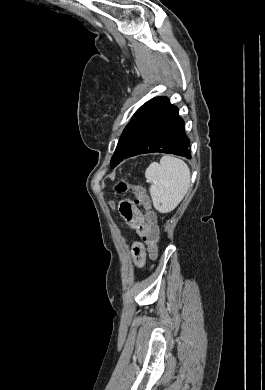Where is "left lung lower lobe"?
Masks as SVG:
<instances>
[{"instance_id":"obj_1","label":"left lung lower lobe","mask_w":265,"mask_h":390,"mask_svg":"<svg viewBox=\"0 0 265 390\" xmlns=\"http://www.w3.org/2000/svg\"><path fill=\"white\" fill-rule=\"evenodd\" d=\"M189 145L178 108L167 97H156L140 111L115 166L126 158L146 153H167L190 159Z\"/></svg>"}]
</instances>
